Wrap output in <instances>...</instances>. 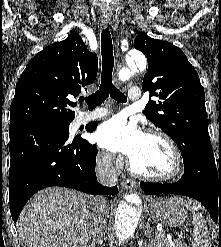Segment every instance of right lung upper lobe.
I'll return each mask as SVG.
<instances>
[{
    "label": "right lung upper lobe",
    "mask_w": 221,
    "mask_h": 247,
    "mask_svg": "<svg viewBox=\"0 0 221 247\" xmlns=\"http://www.w3.org/2000/svg\"><path fill=\"white\" fill-rule=\"evenodd\" d=\"M97 71V55L77 33L47 46L30 60L17 82L9 128L71 122L75 112L68 97L87 91Z\"/></svg>",
    "instance_id": "obj_1"
}]
</instances>
